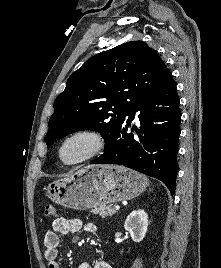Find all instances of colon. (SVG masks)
<instances>
[{"label": "colon", "instance_id": "1", "mask_svg": "<svg viewBox=\"0 0 221 268\" xmlns=\"http://www.w3.org/2000/svg\"><path fill=\"white\" fill-rule=\"evenodd\" d=\"M45 215L49 217H55L57 215V210L53 205H47L45 207Z\"/></svg>", "mask_w": 221, "mask_h": 268}]
</instances>
